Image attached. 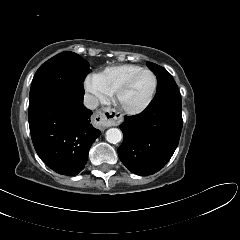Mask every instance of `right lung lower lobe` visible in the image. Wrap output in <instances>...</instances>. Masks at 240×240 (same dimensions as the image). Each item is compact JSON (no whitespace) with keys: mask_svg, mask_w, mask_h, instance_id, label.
Masks as SVG:
<instances>
[{"mask_svg":"<svg viewBox=\"0 0 240 240\" xmlns=\"http://www.w3.org/2000/svg\"><path fill=\"white\" fill-rule=\"evenodd\" d=\"M84 93L57 91L29 105V127L34 148L55 172L75 176L88 159L91 144L101 132L90 123Z\"/></svg>","mask_w":240,"mask_h":240,"instance_id":"obj_1","label":"right lung lower lobe"}]
</instances>
